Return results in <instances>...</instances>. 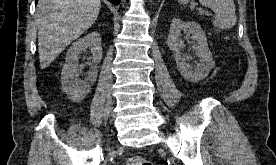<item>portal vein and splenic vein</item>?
I'll use <instances>...</instances> for the list:
<instances>
[{
	"mask_svg": "<svg viewBox=\"0 0 276 165\" xmlns=\"http://www.w3.org/2000/svg\"><path fill=\"white\" fill-rule=\"evenodd\" d=\"M194 5H195V4H194ZM194 5H193V6H194ZM199 12H200V13H208V11H205V10H204L203 8H201V7L199 8Z\"/></svg>",
	"mask_w": 276,
	"mask_h": 165,
	"instance_id": "18ae733b",
	"label": "portal vein and splenic vein"
}]
</instances>
